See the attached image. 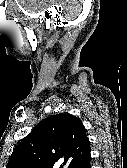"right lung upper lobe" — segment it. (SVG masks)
<instances>
[{
  "instance_id": "1",
  "label": "right lung upper lobe",
  "mask_w": 127,
  "mask_h": 168,
  "mask_svg": "<svg viewBox=\"0 0 127 168\" xmlns=\"http://www.w3.org/2000/svg\"><path fill=\"white\" fill-rule=\"evenodd\" d=\"M89 157L81 120L65 112L47 117L22 139L7 168H76Z\"/></svg>"
}]
</instances>
